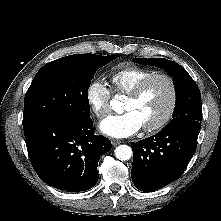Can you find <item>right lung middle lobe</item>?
Listing matches in <instances>:
<instances>
[{
  "mask_svg": "<svg viewBox=\"0 0 221 221\" xmlns=\"http://www.w3.org/2000/svg\"><path fill=\"white\" fill-rule=\"evenodd\" d=\"M116 55L75 54L44 65L24 99L23 128L57 117L89 120L88 88L98 68Z\"/></svg>",
  "mask_w": 221,
  "mask_h": 221,
  "instance_id": "1",
  "label": "right lung middle lobe"
}]
</instances>
